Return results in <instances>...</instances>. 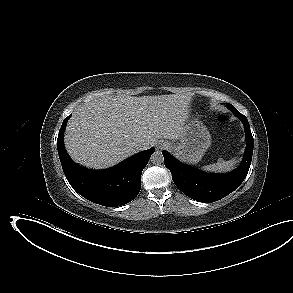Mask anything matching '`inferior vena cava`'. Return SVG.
I'll return each mask as SVG.
<instances>
[{
  "mask_svg": "<svg viewBox=\"0 0 293 293\" xmlns=\"http://www.w3.org/2000/svg\"><path fill=\"white\" fill-rule=\"evenodd\" d=\"M136 147H137V150L142 151V150H147L149 148V145H144L142 143H137Z\"/></svg>",
  "mask_w": 293,
  "mask_h": 293,
  "instance_id": "602c4592",
  "label": "inferior vena cava"
}]
</instances>
